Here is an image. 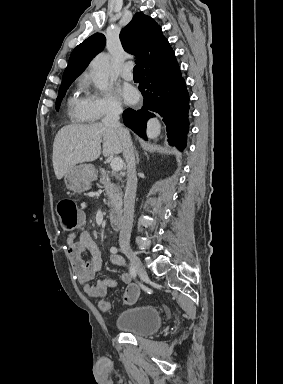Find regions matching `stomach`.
Wrapping results in <instances>:
<instances>
[{
    "label": "stomach",
    "mask_w": 283,
    "mask_h": 384,
    "mask_svg": "<svg viewBox=\"0 0 283 384\" xmlns=\"http://www.w3.org/2000/svg\"><path fill=\"white\" fill-rule=\"evenodd\" d=\"M96 176V170L92 164H79V166H73L66 172L64 176L65 186L74 194H82V192L90 190Z\"/></svg>",
    "instance_id": "0dacf381"
}]
</instances>
